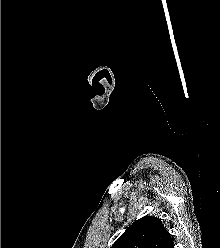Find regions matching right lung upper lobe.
<instances>
[{"instance_id":"1","label":"right lung upper lobe","mask_w":220,"mask_h":248,"mask_svg":"<svg viewBox=\"0 0 220 248\" xmlns=\"http://www.w3.org/2000/svg\"><path fill=\"white\" fill-rule=\"evenodd\" d=\"M171 244L161 220L146 216L129 226L111 248H169Z\"/></svg>"}]
</instances>
